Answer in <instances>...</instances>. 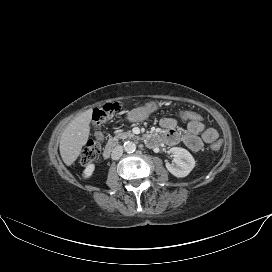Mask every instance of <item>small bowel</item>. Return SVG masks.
Wrapping results in <instances>:
<instances>
[{
  "label": "small bowel",
  "instance_id": "1",
  "mask_svg": "<svg viewBox=\"0 0 272 272\" xmlns=\"http://www.w3.org/2000/svg\"><path fill=\"white\" fill-rule=\"evenodd\" d=\"M160 126L164 130V142L169 145L183 142L192 151H199L204 143H213L218 138L217 131L207 127L202 121H187L183 132L178 129V121L174 118H162Z\"/></svg>",
  "mask_w": 272,
  "mask_h": 272
}]
</instances>
